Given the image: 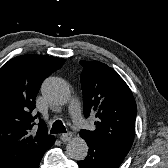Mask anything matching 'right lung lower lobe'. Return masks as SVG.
<instances>
[{
  "mask_svg": "<svg viewBox=\"0 0 168 168\" xmlns=\"http://www.w3.org/2000/svg\"><path fill=\"white\" fill-rule=\"evenodd\" d=\"M39 163H40V161L33 168H39Z\"/></svg>",
  "mask_w": 168,
  "mask_h": 168,
  "instance_id": "98d812e1",
  "label": "right lung lower lobe"
}]
</instances>
